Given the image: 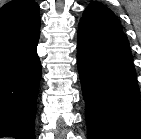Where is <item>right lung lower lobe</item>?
I'll use <instances>...</instances> for the list:
<instances>
[{"instance_id":"obj_1","label":"right lung lower lobe","mask_w":141,"mask_h":139,"mask_svg":"<svg viewBox=\"0 0 141 139\" xmlns=\"http://www.w3.org/2000/svg\"><path fill=\"white\" fill-rule=\"evenodd\" d=\"M39 36L37 32L26 39L0 45V137L35 139L41 78Z\"/></svg>"}]
</instances>
